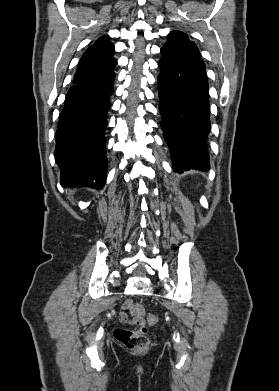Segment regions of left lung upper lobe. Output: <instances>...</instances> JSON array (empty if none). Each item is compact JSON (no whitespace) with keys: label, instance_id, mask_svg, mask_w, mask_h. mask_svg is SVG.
Returning a JSON list of instances; mask_svg holds the SVG:
<instances>
[{"label":"left lung upper lobe","instance_id":"1","mask_svg":"<svg viewBox=\"0 0 279 391\" xmlns=\"http://www.w3.org/2000/svg\"><path fill=\"white\" fill-rule=\"evenodd\" d=\"M163 47L183 54L205 67L197 46L195 43L191 42L188 39V36L183 32L172 31L168 35L167 43Z\"/></svg>","mask_w":279,"mask_h":391}]
</instances>
